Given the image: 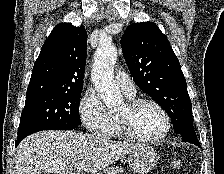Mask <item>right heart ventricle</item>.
Here are the masks:
<instances>
[{
  "instance_id": "e07e8e85",
  "label": "right heart ventricle",
  "mask_w": 224,
  "mask_h": 174,
  "mask_svg": "<svg viewBox=\"0 0 224 174\" xmlns=\"http://www.w3.org/2000/svg\"><path fill=\"white\" fill-rule=\"evenodd\" d=\"M105 136L109 137V138H112V137L113 138H120V137H122V135L119 131L115 116H112L111 128Z\"/></svg>"
}]
</instances>
